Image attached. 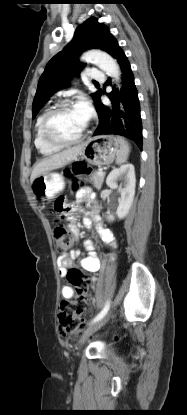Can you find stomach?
I'll use <instances>...</instances> for the list:
<instances>
[{
    "mask_svg": "<svg viewBox=\"0 0 187 415\" xmlns=\"http://www.w3.org/2000/svg\"><path fill=\"white\" fill-rule=\"evenodd\" d=\"M83 145V150L80 153L81 158L96 166L111 164L119 151V142L113 136L93 137ZM31 186L35 198L45 203L64 189L65 182L61 174L47 172L31 182Z\"/></svg>",
    "mask_w": 187,
    "mask_h": 415,
    "instance_id": "obj_1",
    "label": "stomach"
}]
</instances>
